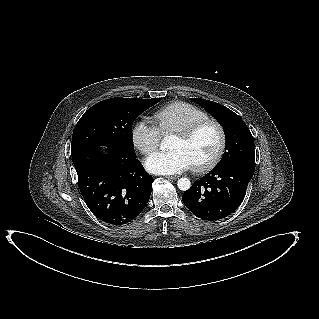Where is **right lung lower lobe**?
Wrapping results in <instances>:
<instances>
[{"label":"right lung lower lobe","instance_id":"obj_1","mask_svg":"<svg viewBox=\"0 0 319 319\" xmlns=\"http://www.w3.org/2000/svg\"><path fill=\"white\" fill-rule=\"evenodd\" d=\"M80 192L97 218L123 225L137 217L149 201L153 177L140 162L113 148L106 155L100 148L72 156Z\"/></svg>","mask_w":319,"mask_h":319}]
</instances>
